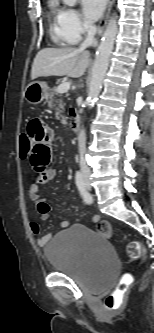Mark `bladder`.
I'll return each instance as SVG.
<instances>
[{
    "label": "bladder",
    "instance_id": "1",
    "mask_svg": "<svg viewBox=\"0 0 154 333\" xmlns=\"http://www.w3.org/2000/svg\"><path fill=\"white\" fill-rule=\"evenodd\" d=\"M43 256L55 272L98 288L109 284L117 268L111 244L84 224H75L57 232L44 246Z\"/></svg>",
    "mask_w": 154,
    "mask_h": 333
}]
</instances>
